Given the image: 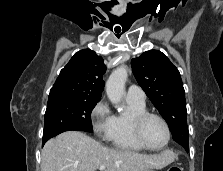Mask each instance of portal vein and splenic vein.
Segmentation results:
<instances>
[{
	"mask_svg": "<svg viewBox=\"0 0 223 171\" xmlns=\"http://www.w3.org/2000/svg\"><path fill=\"white\" fill-rule=\"evenodd\" d=\"M99 169H100L101 171H103V170L105 169V166H104V165H101V166L99 167Z\"/></svg>",
	"mask_w": 223,
	"mask_h": 171,
	"instance_id": "obj_1",
	"label": "portal vein and splenic vein"
}]
</instances>
